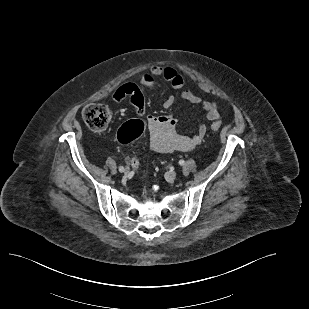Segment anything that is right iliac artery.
<instances>
[{
  "label": "right iliac artery",
  "mask_w": 309,
  "mask_h": 309,
  "mask_svg": "<svg viewBox=\"0 0 309 309\" xmlns=\"http://www.w3.org/2000/svg\"><path fill=\"white\" fill-rule=\"evenodd\" d=\"M119 171H120V172H123V171H124V167H123V166H120V167H119Z\"/></svg>",
  "instance_id": "obj_1"
}]
</instances>
